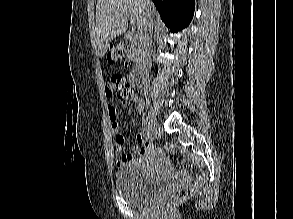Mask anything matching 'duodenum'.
I'll return each instance as SVG.
<instances>
[{
	"instance_id": "1",
	"label": "duodenum",
	"mask_w": 293,
	"mask_h": 219,
	"mask_svg": "<svg viewBox=\"0 0 293 219\" xmlns=\"http://www.w3.org/2000/svg\"><path fill=\"white\" fill-rule=\"evenodd\" d=\"M125 41L135 56V69L129 75L132 87L140 89L146 83L147 55L143 42L133 34H126Z\"/></svg>"
}]
</instances>
